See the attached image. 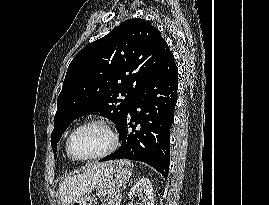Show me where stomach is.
I'll list each match as a JSON object with an SVG mask.
<instances>
[{
    "label": "stomach",
    "mask_w": 269,
    "mask_h": 205,
    "mask_svg": "<svg viewBox=\"0 0 269 205\" xmlns=\"http://www.w3.org/2000/svg\"><path fill=\"white\" fill-rule=\"evenodd\" d=\"M133 164L129 160H115L107 164L96 189L102 198L114 197L117 190L123 186L132 175ZM70 205H97L89 195L74 200Z\"/></svg>",
    "instance_id": "stomach-1"
}]
</instances>
